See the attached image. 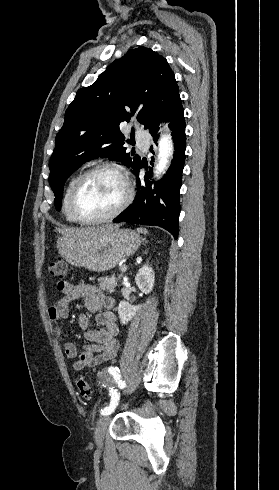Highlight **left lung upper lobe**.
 I'll use <instances>...</instances> for the list:
<instances>
[{
    "mask_svg": "<svg viewBox=\"0 0 279 490\" xmlns=\"http://www.w3.org/2000/svg\"><path fill=\"white\" fill-rule=\"evenodd\" d=\"M179 96L167 60L146 47L130 49L91 86L79 89L65 112L49 162L56 209L60 210L66 179L86 161L109 158L134 172L140 157L126 153L123 145L130 140L121 134L119 124L136 113L137 121L148 129Z\"/></svg>",
    "mask_w": 279,
    "mask_h": 490,
    "instance_id": "1",
    "label": "left lung upper lobe"
}]
</instances>
